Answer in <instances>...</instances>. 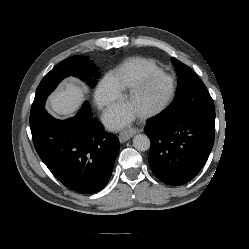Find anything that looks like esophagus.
Wrapping results in <instances>:
<instances>
[{
  "mask_svg": "<svg viewBox=\"0 0 249 249\" xmlns=\"http://www.w3.org/2000/svg\"><path fill=\"white\" fill-rule=\"evenodd\" d=\"M137 132L138 130L135 128L122 131L119 135V139L121 142H125L129 140L130 138H132Z\"/></svg>",
  "mask_w": 249,
  "mask_h": 249,
  "instance_id": "34e87169",
  "label": "esophagus"
}]
</instances>
